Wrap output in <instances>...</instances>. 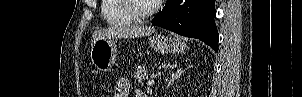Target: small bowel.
<instances>
[{
	"label": "small bowel",
	"instance_id": "1",
	"mask_svg": "<svg viewBox=\"0 0 302 97\" xmlns=\"http://www.w3.org/2000/svg\"><path fill=\"white\" fill-rule=\"evenodd\" d=\"M131 90L130 82L127 78H122L118 81L115 87V97H128ZM139 97H144V95L139 94Z\"/></svg>",
	"mask_w": 302,
	"mask_h": 97
}]
</instances>
